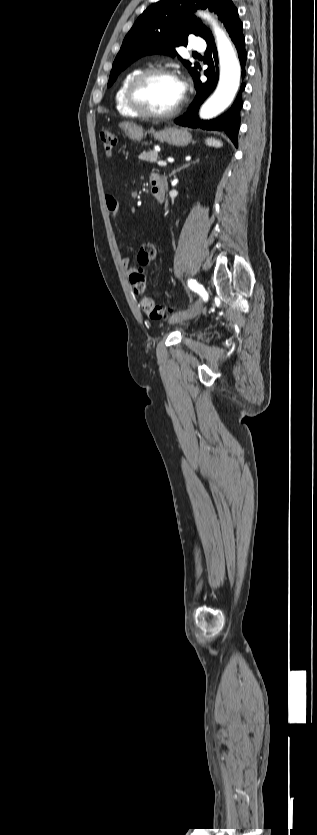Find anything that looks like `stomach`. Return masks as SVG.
<instances>
[{
    "label": "stomach",
    "instance_id": "obj_1",
    "mask_svg": "<svg viewBox=\"0 0 317 835\" xmlns=\"http://www.w3.org/2000/svg\"><path fill=\"white\" fill-rule=\"evenodd\" d=\"M119 127L125 132L126 136L134 141H140L146 135L142 126L132 122H122ZM149 133L160 142H166L174 146H187L192 142V135L186 129H179L176 127H165L163 130L155 131L151 129Z\"/></svg>",
    "mask_w": 317,
    "mask_h": 835
}]
</instances>
